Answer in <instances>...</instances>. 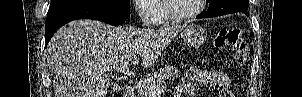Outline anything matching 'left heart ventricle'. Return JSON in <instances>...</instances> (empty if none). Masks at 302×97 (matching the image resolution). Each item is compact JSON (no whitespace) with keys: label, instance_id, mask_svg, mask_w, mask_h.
<instances>
[{"label":"left heart ventricle","instance_id":"obj_1","mask_svg":"<svg viewBox=\"0 0 302 97\" xmlns=\"http://www.w3.org/2000/svg\"><path fill=\"white\" fill-rule=\"evenodd\" d=\"M172 7L178 14H186L194 11L199 4L198 0H172Z\"/></svg>","mask_w":302,"mask_h":97}]
</instances>
